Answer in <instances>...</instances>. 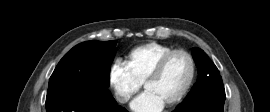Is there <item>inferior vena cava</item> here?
Instances as JSON below:
<instances>
[{
	"label": "inferior vena cava",
	"instance_id": "602c4592",
	"mask_svg": "<svg viewBox=\"0 0 270 112\" xmlns=\"http://www.w3.org/2000/svg\"><path fill=\"white\" fill-rule=\"evenodd\" d=\"M120 103H125L129 100V97L127 96H121L117 98Z\"/></svg>",
	"mask_w": 270,
	"mask_h": 112
}]
</instances>
